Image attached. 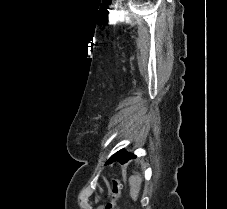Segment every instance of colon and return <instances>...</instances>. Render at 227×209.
I'll return each instance as SVG.
<instances>
[{
  "label": "colon",
  "mask_w": 227,
  "mask_h": 209,
  "mask_svg": "<svg viewBox=\"0 0 227 209\" xmlns=\"http://www.w3.org/2000/svg\"><path fill=\"white\" fill-rule=\"evenodd\" d=\"M121 193V183L118 179H112L110 183L109 200L104 209H118V200Z\"/></svg>",
  "instance_id": "5ec220e1"
}]
</instances>
